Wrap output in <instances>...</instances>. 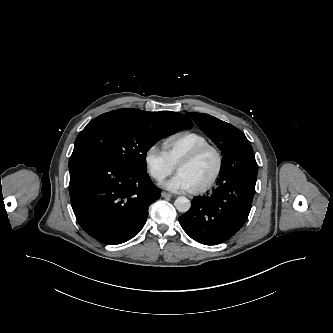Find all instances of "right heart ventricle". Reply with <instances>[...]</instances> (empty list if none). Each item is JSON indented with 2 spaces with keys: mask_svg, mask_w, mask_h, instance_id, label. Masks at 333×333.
Here are the masks:
<instances>
[{
  "mask_svg": "<svg viewBox=\"0 0 333 333\" xmlns=\"http://www.w3.org/2000/svg\"><path fill=\"white\" fill-rule=\"evenodd\" d=\"M207 144L210 143L202 134L182 131L165 138L163 148L170 161L176 166L184 156Z\"/></svg>",
  "mask_w": 333,
  "mask_h": 333,
  "instance_id": "1",
  "label": "right heart ventricle"
}]
</instances>
